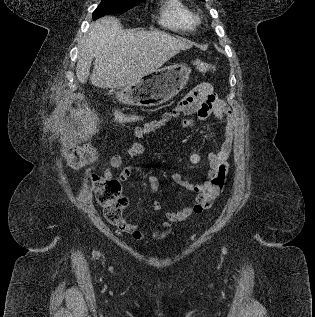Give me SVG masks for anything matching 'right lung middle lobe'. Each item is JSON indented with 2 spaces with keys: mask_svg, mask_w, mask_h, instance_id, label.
<instances>
[{
  "mask_svg": "<svg viewBox=\"0 0 315 317\" xmlns=\"http://www.w3.org/2000/svg\"><path fill=\"white\" fill-rule=\"evenodd\" d=\"M145 0H102L93 12V19H97L111 13H124Z\"/></svg>",
  "mask_w": 315,
  "mask_h": 317,
  "instance_id": "right-lung-middle-lobe-1",
  "label": "right lung middle lobe"
}]
</instances>
